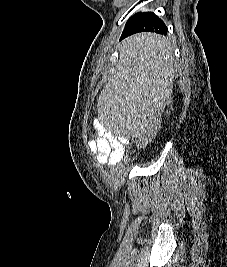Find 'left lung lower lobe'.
<instances>
[{"label":"left lung lower lobe","instance_id":"1","mask_svg":"<svg viewBox=\"0 0 227 267\" xmlns=\"http://www.w3.org/2000/svg\"><path fill=\"white\" fill-rule=\"evenodd\" d=\"M138 32H155L157 34L166 35L168 30L164 22L154 13H137L127 21L120 40ZM144 44L143 41H138L135 47L141 48Z\"/></svg>","mask_w":227,"mask_h":267}]
</instances>
